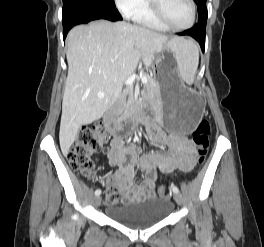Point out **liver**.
<instances>
[{"label": "liver", "instance_id": "obj_1", "mask_svg": "<svg viewBox=\"0 0 264 247\" xmlns=\"http://www.w3.org/2000/svg\"><path fill=\"white\" fill-rule=\"evenodd\" d=\"M164 35L126 22L98 20L78 25L67 36L66 79L59 141L67 155L82 125L101 118L117 101L123 83L133 75L140 60L152 65L155 54L163 51ZM103 93L104 98H98Z\"/></svg>", "mask_w": 264, "mask_h": 247}]
</instances>
